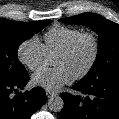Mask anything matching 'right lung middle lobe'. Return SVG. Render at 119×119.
<instances>
[{
  "mask_svg": "<svg viewBox=\"0 0 119 119\" xmlns=\"http://www.w3.org/2000/svg\"><path fill=\"white\" fill-rule=\"evenodd\" d=\"M50 23L0 19V81L19 79L27 73L17 58L18 47Z\"/></svg>",
  "mask_w": 119,
  "mask_h": 119,
  "instance_id": "right-lung-middle-lobe-1",
  "label": "right lung middle lobe"
}]
</instances>
